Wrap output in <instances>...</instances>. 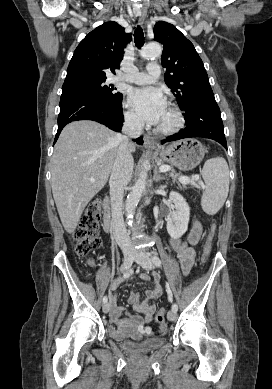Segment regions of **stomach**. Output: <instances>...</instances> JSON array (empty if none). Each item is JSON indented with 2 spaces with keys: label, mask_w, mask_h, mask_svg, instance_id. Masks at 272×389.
Segmentation results:
<instances>
[{
  "label": "stomach",
  "mask_w": 272,
  "mask_h": 389,
  "mask_svg": "<svg viewBox=\"0 0 272 389\" xmlns=\"http://www.w3.org/2000/svg\"><path fill=\"white\" fill-rule=\"evenodd\" d=\"M205 152V147L197 139L187 138L160 148L159 155L165 162L180 170L189 171L201 162Z\"/></svg>",
  "instance_id": "0dacf381"
}]
</instances>
